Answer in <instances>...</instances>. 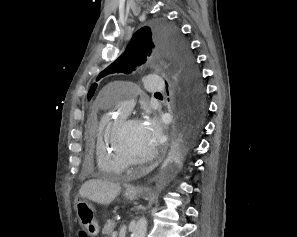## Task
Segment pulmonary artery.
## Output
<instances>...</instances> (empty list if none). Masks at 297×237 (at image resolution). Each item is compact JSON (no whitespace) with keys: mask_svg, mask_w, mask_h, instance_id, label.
<instances>
[{"mask_svg":"<svg viewBox=\"0 0 297 237\" xmlns=\"http://www.w3.org/2000/svg\"><path fill=\"white\" fill-rule=\"evenodd\" d=\"M145 90L153 93L162 91L164 84L159 76H149L144 80ZM136 92L130 87H124L118 93V96L112 102L120 109L123 114H126L134 104Z\"/></svg>","mask_w":297,"mask_h":237,"instance_id":"obj_1","label":"pulmonary artery"}]
</instances>
